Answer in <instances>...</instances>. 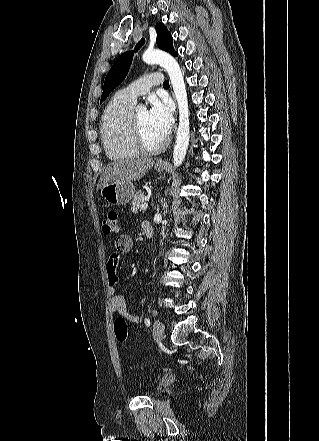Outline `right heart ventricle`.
Wrapping results in <instances>:
<instances>
[{
	"label": "right heart ventricle",
	"mask_w": 319,
	"mask_h": 441,
	"mask_svg": "<svg viewBox=\"0 0 319 441\" xmlns=\"http://www.w3.org/2000/svg\"><path fill=\"white\" fill-rule=\"evenodd\" d=\"M135 103L115 95L107 104L100 134L106 154L113 160L134 158L139 155L131 139L130 121Z\"/></svg>",
	"instance_id": "1"
}]
</instances>
